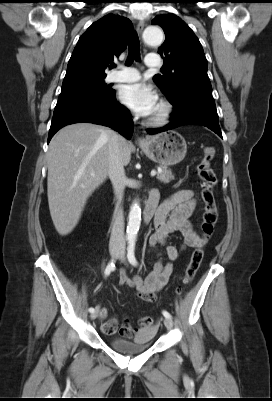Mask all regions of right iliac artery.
<instances>
[{"label":"right iliac artery","mask_w":272,"mask_h":401,"mask_svg":"<svg viewBox=\"0 0 272 401\" xmlns=\"http://www.w3.org/2000/svg\"><path fill=\"white\" fill-rule=\"evenodd\" d=\"M114 268H115V264H114L113 261H111V262L107 265V267H106V269H105V272H104L105 277H107V276L114 270ZM94 311H95L94 308H92V307L89 308V312L93 313Z\"/></svg>","instance_id":"1"}]
</instances>
